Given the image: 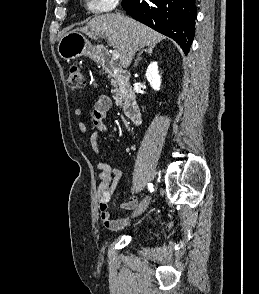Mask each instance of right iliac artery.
<instances>
[{
    "label": "right iliac artery",
    "mask_w": 259,
    "mask_h": 294,
    "mask_svg": "<svg viewBox=\"0 0 259 294\" xmlns=\"http://www.w3.org/2000/svg\"><path fill=\"white\" fill-rule=\"evenodd\" d=\"M148 188H149V191L150 192H153L154 191L153 184L148 183Z\"/></svg>",
    "instance_id": "right-iliac-artery-1"
}]
</instances>
